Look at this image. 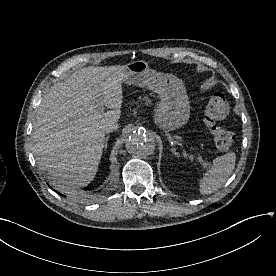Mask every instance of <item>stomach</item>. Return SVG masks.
<instances>
[{
  "label": "stomach",
  "mask_w": 276,
  "mask_h": 276,
  "mask_svg": "<svg viewBox=\"0 0 276 276\" xmlns=\"http://www.w3.org/2000/svg\"><path fill=\"white\" fill-rule=\"evenodd\" d=\"M124 82L145 87L160 97L154 119L163 130H174L185 125L189 119L190 105L185 86L173 74L157 72L145 61H132L126 65Z\"/></svg>",
  "instance_id": "stomach-1"
}]
</instances>
